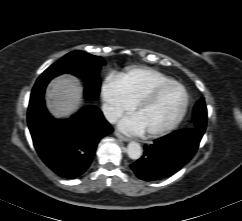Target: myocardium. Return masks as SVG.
<instances>
[{
  "instance_id": "obj_1",
  "label": "myocardium",
  "mask_w": 242,
  "mask_h": 221,
  "mask_svg": "<svg viewBox=\"0 0 242 221\" xmlns=\"http://www.w3.org/2000/svg\"><path fill=\"white\" fill-rule=\"evenodd\" d=\"M170 87H179L184 94V101L183 105L177 114V116L165 127L158 129V130H153V131H146L144 134L148 137H159L162 135H165L169 132H171L176 126L182 121L184 118L188 106H189V94L186 90V88L179 82L177 81H170L167 83H163L160 85H157L154 87L150 92H148L141 100H139L133 109V113H137L138 111L142 110L143 108L149 106L151 103L155 101V99L166 89Z\"/></svg>"
}]
</instances>
